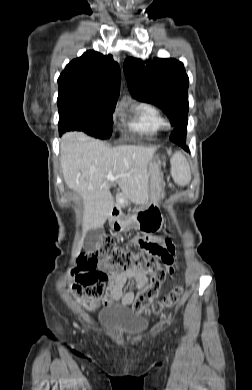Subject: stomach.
Masks as SVG:
<instances>
[{
  "label": "stomach",
  "mask_w": 252,
  "mask_h": 390,
  "mask_svg": "<svg viewBox=\"0 0 252 390\" xmlns=\"http://www.w3.org/2000/svg\"><path fill=\"white\" fill-rule=\"evenodd\" d=\"M148 175L150 179V194L146 204L138 209L132 216L116 217L110 219L111 227L116 231H122L129 226L145 231L153 232L162 222L159 202L162 196L163 179L159 163L151 160L148 163Z\"/></svg>",
  "instance_id": "obj_1"
}]
</instances>
